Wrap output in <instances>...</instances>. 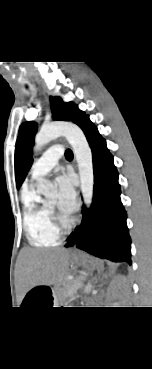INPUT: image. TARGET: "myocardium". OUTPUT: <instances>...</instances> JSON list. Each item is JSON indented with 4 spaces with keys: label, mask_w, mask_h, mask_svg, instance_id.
<instances>
[{
    "label": "myocardium",
    "mask_w": 152,
    "mask_h": 369,
    "mask_svg": "<svg viewBox=\"0 0 152 369\" xmlns=\"http://www.w3.org/2000/svg\"><path fill=\"white\" fill-rule=\"evenodd\" d=\"M50 213H51V218L52 221L54 223V225L56 226V228L61 231V232H67L69 231L72 226H73V220L72 219H65L62 215H60L56 209H54L53 207L47 205Z\"/></svg>",
    "instance_id": "1"
}]
</instances>
